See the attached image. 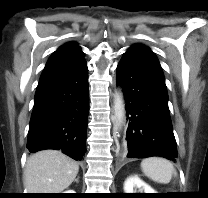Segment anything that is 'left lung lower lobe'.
<instances>
[{"mask_svg": "<svg viewBox=\"0 0 208 198\" xmlns=\"http://www.w3.org/2000/svg\"><path fill=\"white\" fill-rule=\"evenodd\" d=\"M116 80L126 102L127 157L160 156L175 161L177 148L168 95L155 54L144 45H133L117 66Z\"/></svg>", "mask_w": 208, "mask_h": 198, "instance_id": "0a47b994", "label": "left lung lower lobe"}]
</instances>
